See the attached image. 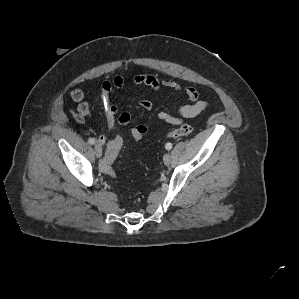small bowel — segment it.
<instances>
[{
  "label": "small bowel",
  "mask_w": 299,
  "mask_h": 299,
  "mask_svg": "<svg viewBox=\"0 0 299 299\" xmlns=\"http://www.w3.org/2000/svg\"><path fill=\"white\" fill-rule=\"evenodd\" d=\"M125 81L123 77L116 76L112 80H106L100 85V96L104 103V112L107 119L108 127L114 129L116 123L121 126H127L130 123L131 116L128 112L119 113L118 107L111 103V93L114 89H122ZM133 84L136 86H147L154 91H158L162 86L170 88L174 91H181L182 87L171 78L158 79L151 74H138L133 78ZM183 91L189 98V103L180 106L175 113H169L162 111L158 114V118L168 124L179 125L184 120L193 118L208 107L207 102L199 99V92L192 86L183 88ZM86 93L82 89H74L71 92V98L74 102L78 103L77 112L82 116L81 120L86 118L90 112V106L85 101ZM140 106L145 110H151L153 108V102L150 99L144 98L139 102ZM138 127L144 128L147 132L145 125L139 124ZM100 144L107 143V138L101 135L98 138Z\"/></svg>",
  "instance_id": "small-bowel-1"
}]
</instances>
